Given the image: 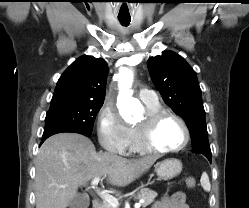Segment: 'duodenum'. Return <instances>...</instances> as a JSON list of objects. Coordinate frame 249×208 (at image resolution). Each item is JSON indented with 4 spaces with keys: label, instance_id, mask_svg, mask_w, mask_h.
<instances>
[{
    "label": "duodenum",
    "instance_id": "410a0bca",
    "mask_svg": "<svg viewBox=\"0 0 249 208\" xmlns=\"http://www.w3.org/2000/svg\"><path fill=\"white\" fill-rule=\"evenodd\" d=\"M101 206V199L99 197H94L92 199V208H100Z\"/></svg>",
    "mask_w": 249,
    "mask_h": 208
}]
</instances>
